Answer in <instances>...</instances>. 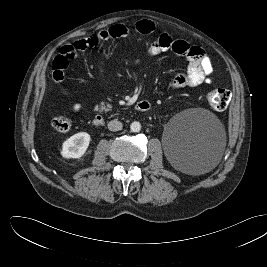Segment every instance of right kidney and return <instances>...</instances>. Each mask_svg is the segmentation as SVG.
Here are the masks:
<instances>
[{
    "label": "right kidney",
    "mask_w": 267,
    "mask_h": 267,
    "mask_svg": "<svg viewBox=\"0 0 267 267\" xmlns=\"http://www.w3.org/2000/svg\"><path fill=\"white\" fill-rule=\"evenodd\" d=\"M90 135L86 132L74 134L62 145L61 155L64 158H80L82 157L90 143Z\"/></svg>",
    "instance_id": "ca27d5eb"
}]
</instances>
